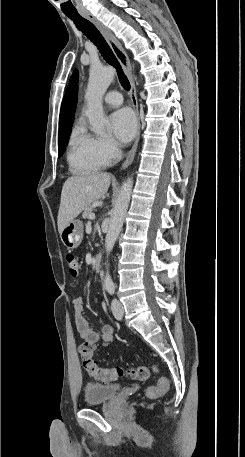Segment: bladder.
<instances>
[{"label": "bladder", "mask_w": 245, "mask_h": 457, "mask_svg": "<svg viewBox=\"0 0 245 457\" xmlns=\"http://www.w3.org/2000/svg\"><path fill=\"white\" fill-rule=\"evenodd\" d=\"M119 386L112 384H90L85 385L86 406L108 402L113 395H116Z\"/></svg>", "instance_id": "obj_1"}]
</instances>
